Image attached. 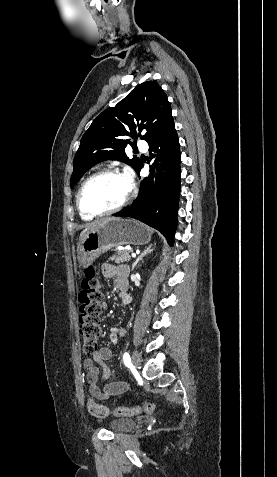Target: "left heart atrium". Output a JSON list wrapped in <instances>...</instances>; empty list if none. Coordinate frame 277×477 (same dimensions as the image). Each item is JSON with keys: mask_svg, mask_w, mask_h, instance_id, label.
<instances>
[{"mask_svg": "<svg viewBox=\"0 0 277 477\" xmlns=\"http://www.w3.org/2000/svg\"><path fill=\"white\" fill-rule=\"evenodd\" d=\"M124 178L126 179V182H127V184H128V187H131V186H132V183H133L132 174H131L130 172H128Z\"/></svg>", "mask_w": 277, "mask_h": 477, "instance_id": "1", "label": "left heart atrium"}]
</instances>
